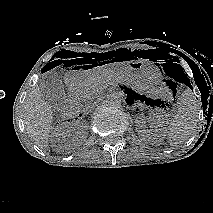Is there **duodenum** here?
<instances>
[{
  "instance_id": "410a0bca",
  "label": "duodenum",
  "mask_w": 213,
  "mask_h": 213,
  "mask_svg": "<svg viewBox=\"0 0 213 213\" xmlns=\"http://www.w3.org/2000/svg\"><path fill=\"white\" fill-rule=\"evenodd\" d=\"M81 115H82V111H78V112L75 113L76 118H79Z\"/></svg>"
}]
</instances>
